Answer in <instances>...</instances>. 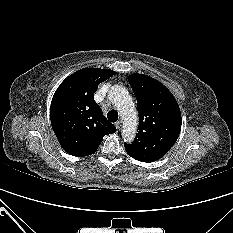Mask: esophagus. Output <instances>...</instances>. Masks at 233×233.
<instances>
[{
	"mask_svg": "<svg viewBox=\"0 0 233 233\" xmlns=\"http://www.w3.org/2000/svg\"><path fill=\"white\" fill-rule=\"evenodd\" d=\"M115 126H116V128H117V130L120 128V121H117L116 123H115Z\"/></svg>",
	"mask_w": 233,
	"mask_h": 233,
	"instance_id": "esophagus-1",
	"label": "esophagus"
}]
</instances>
